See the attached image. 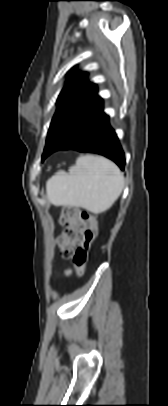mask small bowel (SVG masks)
<instances>
[{"label":"small bowel","instance_id":"small-bowel-1","mask_svg":"<svg viewBox=\"0 0 168 406\" xmlns=\"http://www.w3.org/2000/svg\"><path fill=\"white\" fill-rule=\"evenodd\" d=\"M71 271L70 270H66L65 274L66 275H70Z\"/></svg>","mask_w":168,"mask_h":406}]
</instances>
